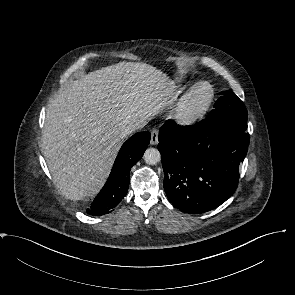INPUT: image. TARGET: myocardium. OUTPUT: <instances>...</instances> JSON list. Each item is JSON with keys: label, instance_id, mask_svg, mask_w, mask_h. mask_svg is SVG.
<instances>
[{"label": "myocardium", "instance_id": "myocardium-1", "mask_svg": "<svg viewBox=\"0 0 295 295\" xmlns=\"http://www.w3.org/2000/svg\"><path fill=\"white\" fill-rule=\"evenodd\" d=\"M215 89L207 81H201L189 89L178 103L174 118L183 127H191L201 122L213 104Z\"/></svg>", "mask_w": 295, "mask_h": 295}]
</instances>
